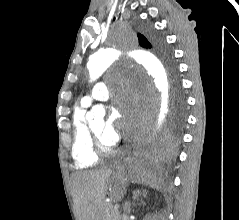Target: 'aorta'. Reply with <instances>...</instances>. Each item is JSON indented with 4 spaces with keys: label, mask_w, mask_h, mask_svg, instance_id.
I'll use <instances>...</instances> for the list:
<instances>
[{
    "label": "aorta",
    "mask_w": 239,
    "mask_h": 220,
    "mask_svg": "<svg viewBox=\"0 0 239 220\" xmlns=\"http://www.w3.org/2000/svg\"><path fill=\"white\" fill-rule=\"evenodd\" d=\"M118 40L124 39L120 38ZM123 46L129 45H111L110 47L93 54L87 63L90 78L95 80L101 76L108 67L120 58L119 52H134V57H129V61H135L136 65L144 66L147 75L153 80L160 93L161 104L155 122V131H159L168 113L169 82L166 69L161 61L152 54V51H148V48H136V51H123ZM104 115V108L96 105L92 107L89 112L88 119L102 118Z\"/></svg>",
    "instance_id": "obj_1"
}]
</instances>
